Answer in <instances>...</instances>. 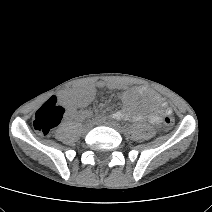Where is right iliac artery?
Wrapping results in <instances>:
<instances>
[{
	"mask_svg": "<svg viewBox=\"0 0 212 212\" xmlns=\"http://www.w3.org/2000/svg\"><path fill=\"white\" fill-rule=\"evenodd\" d=\"M92 121H93L94 123H96V122L100 121V119H97V118H96V119H93Z\"/></svg>",
	"mask_w": 212,
	"mask_h": 212,
	"instance_id": "obj_1",
	"label": "right iliac artery"
}]
</instances>
